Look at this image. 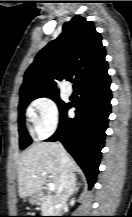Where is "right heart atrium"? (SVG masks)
<instances>
[{"mask_svg": "<svg viewBox=\"0 0 132 217\" xmlns=\"http://www.w3.org/2000/svg\"><path fill=\"white\" fill-rule=\"evenodd\" d=\"M32 106L36 111L34 126L37 135L41 138L50 136L59 124L57 103L50 97H40L33 101Z\"/></svg>", "mask_w": 132, "mask_h": 217, "instance_id": "right-heart-atrium-1", "label": "right heart atrium"}]
</instances>
